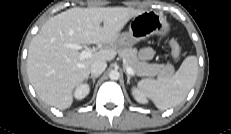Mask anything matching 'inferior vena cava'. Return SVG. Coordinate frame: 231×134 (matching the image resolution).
<instances>
[{
    "label": "inferior vena cava",
    "mask_w": 231,
    "mask_h": 134,
    "mask_svg": "<svg viewBox=\"0 0 231 134\" xmlns=\"http://www.w3.org/2000/svg\"><path fill=\"white\" fill-rule=\"evenodd\" d=\"M106 67L107 63L105 61L98 60L91 65L90 72L93 76H99L104 72Z\"/></svg>",
    "instance_id": "602c4592"
}]
</instances>
